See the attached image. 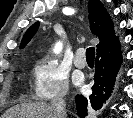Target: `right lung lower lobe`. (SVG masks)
<instances>
[{"mask_svg":"<svg viewBox=\"0 0 133 118\" xmlns=\"http://www.w3.org/2000/svg\"><path fill=\"white\" fill-rule=\"evenodd\" d=\"M121 63L122 54L118 38L97 51L93 93L88 98L82 95L75 97L77 113L81 118L87 115L88 105L98 110L110 97Z\"/></svg>","mask_w":133,"mask_h":118,"instance_id":"98d812e1","label":"right lung lower lobe"}]
</instances>
